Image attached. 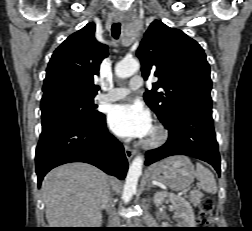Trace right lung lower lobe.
Segmentation results:
<instances>
[{"label": "right lung lower lobe", "instance_id": "98d812e1", "mask_svg": "<svg viewBox=\"0 0 252 231\" xmlns=\"http://www.w3.org/2000/svg\"><path fill=\"white\" fill-rule=\"evenodd\" d=\"M35 162L38 185L52 168L69 162L92 164L119 179L128 169L124 148L108 133L105 115L95 122L65 120L42 128Z\"/></svg>", "mask_w": 252, "mask_h": 231}]
</instances>
